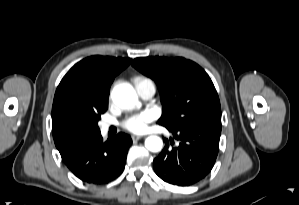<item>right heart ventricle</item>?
I'll return each mask as SVG.
<instances>
[{
  "label": "right heart ventricle",
  "mask_w": 299,
  "mask_h": 205,
  "mask_svg": "<svg viewBox=\"0 0 299 205\" xmlns=\"http://www.w3.org/2000/svg\"><path fill=\"white\" fill-rule=\"evenodd\" d=\"M139 79H142V77H138V78H136V80H139Z\"/></svg>",
  "instance_id": "e07e8e85"
}]
</instances>
